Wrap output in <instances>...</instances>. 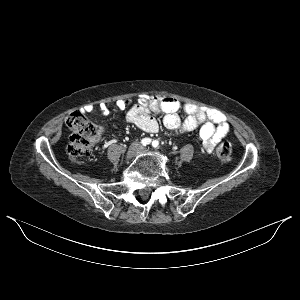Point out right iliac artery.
Instances as JSON below:
<instances>
[{
	"label": "right iliac artery",
	"mask_w": 300,
	"mask_h": 300,
	"mask_svg": "<svg viewBox=\"0 0 300 300\" xmlns=\"http://www.w3.org/2000/svg\"><path fill=\"white\" fill-rule=\"evenodd\" d=\"M151 143V139L150 138H144L141 140V144L143 146L149 145Z\"/></svg>",
	"instance_id": "82829eb1"
}]
</instances>
